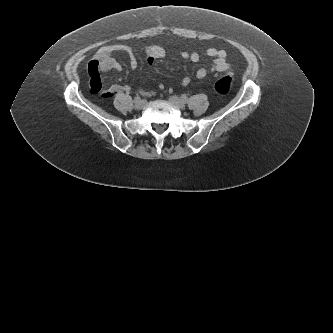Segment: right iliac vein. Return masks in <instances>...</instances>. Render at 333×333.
<instances>
[{
    "label": "right iliac vein",
    "instance_id": "63e3f726",
    "mask_svg": "<svg viewBox=\"0 0 333 333\" xmlns=\"http://www.w3.org/2000/svg\"><path fill=\"white\" fill-rule=\"evenodd\" d=\"M146 106V101L145 100H138L135 101V109L141 110Z\"/></svg>",
    "mask_w": 333,
    "mask_h": 333
}]
</instances>
